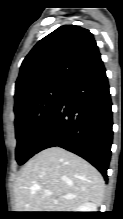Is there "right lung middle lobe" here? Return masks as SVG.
Segmentation results:
<instances>
[{"mask_svg": "<svg viewBox=\"0 0 123 219\" xmlns=\"http://www.w3.org/2000/svg\"><path fill=\"white\" fill-rule=\"evenodd\" d=\"M65 85H51L15 102L16 160L24 164L37 153V145L64 94Z\"/></svg>", "mask_w": 123, "mask_h": 219, "instance_id": "dd1d6c3e", "label": "right lung middle lobe"}]
</instances>
